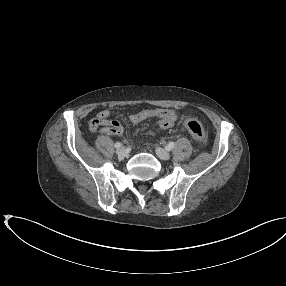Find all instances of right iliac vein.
Masks as SVG:
<instances>
[{
    "instance_id": "63e3f726",
    "label": "right iliac vein",
    "mask_w": 286,
    "mask_h": 286,
    "mask_svg": "<svg viewBox=\"0 0 286 286\" xmlns=\"http://www.w3.org/2000/svg\"><path fill=\"white\" fill-rule=\"evenodd\" d=\"M116 153L119 157H123L126 155V149L124 147H120L116 150Z\"/></svg>"
}]
</instances>
